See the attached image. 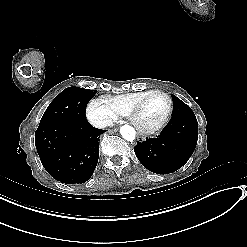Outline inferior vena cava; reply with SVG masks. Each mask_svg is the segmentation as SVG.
<instances>
[{"instance_id":"obj_1","label":"inferior vena cava","mask_w":247,"mask_h":247,"mask_svg":"<svg viewBox=\"0 0 247 247\" xmlns=\"http://www.w3.org/2000/svg\"><path fill=\"white\" fill-rule=\"evenodd\" d=\"M111 124H112V123H111L110 120L100 119V120H96V121H95V126H96L97 128H100V129L105 128V127H107V126H109V125H111Z\"/></svg>"}]
</instances>
